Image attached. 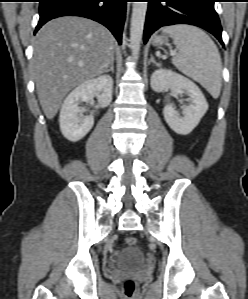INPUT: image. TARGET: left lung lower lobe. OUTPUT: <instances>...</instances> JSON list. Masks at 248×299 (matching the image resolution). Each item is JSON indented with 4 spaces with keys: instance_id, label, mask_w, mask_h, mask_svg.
Returning a JSON list of instances; mask_svg holds the SVG:
<instances>
[{
    "instance_id": "1",
    "label": "left lung lower lobe",
    "mask_w": 248,
    "mask_h": 299,
    "mask_svg": "<svg viewBox=\"0 0 248 299\" xmlns=\"http://www.w3.org/2000/svg\"><path fill=\"white\" fill-rule=\"evenodd\" d=\"M148 11L144 43L157 29L175 24H190L213 34L224 46L221 24L214 9L216 0H146Z\"/></svg>"
}]
</instances>
